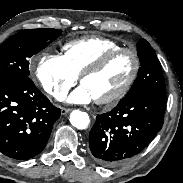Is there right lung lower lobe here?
<instances>
[{
	"mask_svg": "<svg viewBox=\"0 0 183 183\" xmlns=\"http://www.w3.org/2000/svg\"><path fill=\"white\" fill-rule=\"evenodd\" d=\"M60 109L28 76L0 79V152L27 160L45 147Z\"/></svg>",
	"mask_w": 183,
	"mask_h": 183,
	"instance_id": "right-lung-lower-lobe-1",
	"label": "right lung lower lobe"
}]
</instances>
